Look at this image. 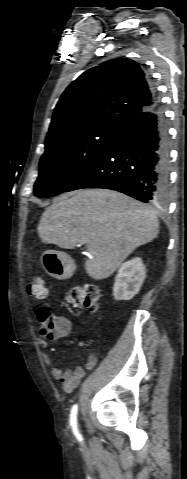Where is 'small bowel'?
I'll list each match as a JSON object with an SVG mask.
<instances>
[{
  "label": "small bowel",
  "mask_w": 187,
  "mask_h": 479,
  "mask_svg": "<svg viewBox=\"0 0 187 479\" xmlns=\"http://www.w3.org/2000/svg\"><path fill=\"white\" fill-rule=\"evenodd\" d=\"M55 319L59 324L62 325L61 335L58 338L66 337L71 332V323L70 321L62 316L56 315ZM48 343L46 340L40 342V346L45 348ZM43 360L47 367L50 370V373L53 378L59 380L62 384L63 391L67 394L72 393L75 388L79 385L83 379L86 372H89L94 369L97 358L96 356L89 352L86 358L84 365H76L73 368L62 369L53 364L51 357L47 353L42 354Z\"/></svg>",
  "instance_id": "small-bowel-1"
}]
</instances>
